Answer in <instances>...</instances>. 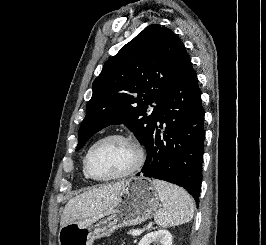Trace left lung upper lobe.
<instances>
[{"label": "left lung upper lobe", "instance_id": "5c2ea615", "mask_svg": "<svg viewBox=\"0 0 266 245\" xmlns=\"http://www.w3.org/2000/svg\"><path fill=\"white\" fill-rule=\"evenodd\" d=\"M189 58L169 28L152 24L140 32L94 80L76 151L99 130L121 123L147 147L163 99Z\"/></svg>", "mask_w": 266, "mask_h": 245}]
</instances>
